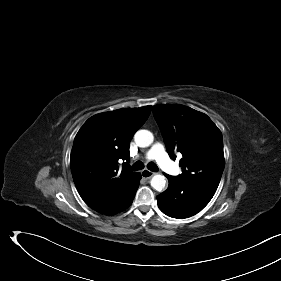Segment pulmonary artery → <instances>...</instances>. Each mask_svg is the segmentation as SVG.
Returning <instances> with one entry per match:
<instances>
[{
  "label": "pulmonary artery",
  "instance_id": "e3ab8cb5",
  "mask_svg": "<svg viewBox=\"0 0 281 281\" xmlns=\"http://www.w3.org/2000/svg\"><path fill=\"white\" fill-rule=\"evenodd\" d=\"M146 158L156 160L164 171L172 175L180 173V169L170 160L161 143H155L148 151Z\"/></svg>",
  "mask_w": 281,
  "mask_h": 281
}]
</instances>
